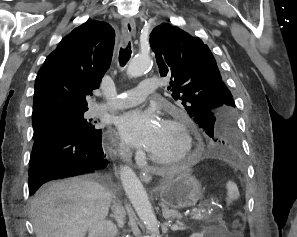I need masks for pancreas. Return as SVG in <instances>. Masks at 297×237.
<instances>
[{
    "label": "pancreas",
    "mask_w": 297,
    "mask_h": 237,
    "mask_svg": "<svg viewBox=\"0 0 297 237\" xmlns=\"http://www.w3.org/2000/svg\"><path fill=\"white\" fill-rule=\"evenodd\" d=\"M215 215L214 212H209L205 207H199L193 214L192 219L198 221L209 220Z\"/></svg>",
    "instance_id": "cf45deb5"
}]
</instances>
